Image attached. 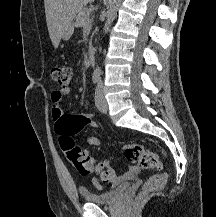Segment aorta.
I'll use <instances>...</instances> for the list:
<instances>
[{
	"label": "aorta",
	"mask_w": 216,
	"mask_h": 217,
	"mask_svg": "<svg viewBox=\"0 0 216 217\" xmlns=\"http://www.w3.org/2000/svg\"><path fill=\"white\" fill-rule=\"evenodd\" d=\"M120 3H121V0H109L106 21H105V25L103 28V31L105 34L109 31V28L117 15V11L120 6ZM101 73H102L101 67L97 66L96 69L94 70V74L101 75Z\"/></svg>",
	"instance_id": "obj_1"
}]
</instances>
